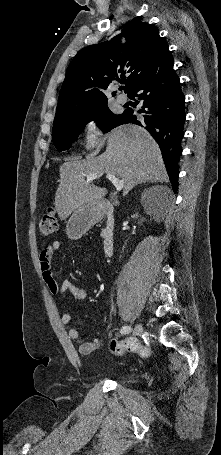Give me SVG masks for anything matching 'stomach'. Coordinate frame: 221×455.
<instances>
[{
	"label": "stomach",
	"mask_w": 221,
	"mask_h": 455,
	"mask_svg": "<svg viewBox=\"0 0 221 455\" xmlns=\"http://www.w3.org/2000/svg\"><path fill=\"white\" fill-rule=\"evenodd\" d=\"M102 216L101 201L88 202L73 211L66 222V234L72 240L81 238Z\"/></svg>",
	"instance_id": "stomach-1"
}]
</instances>
